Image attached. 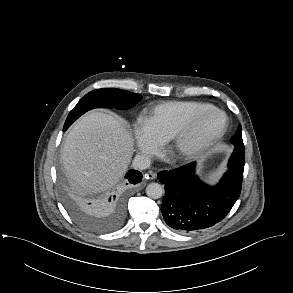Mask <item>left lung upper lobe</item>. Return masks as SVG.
Segmentation results:
<instances>
[{
  "mask_svg": "<svg viewBox=\"0 0 293 293\" xmlns=\"http://www.w3.org/2000/svg\"><path fill=\"white\" fill-rule=\"evenodd\" d=\"M231 143L235 146L232 158L242 160L244 162V144L242 140V128L239 126L235 136L232 137ZM242 158V159H241Z\"/></svg>",
  "mask_w": 293,
  "mask_h": 293,
  "instance_id": "left-lung-upper-lobe-1",
  "label": "left lung upper lobe"
}]
</instances>
